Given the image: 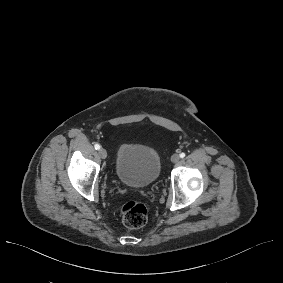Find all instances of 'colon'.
<instances>
[{
	"label": "colon",
	"instance_id": "1",
	"mask_svg": "<svg viewBox=\"0 0 283 283\" xmlns=\"http://www.w3.org/2000/svg\"><path fill=\"white\" fill-rule=\"evenodd\" d=\"M123 224L130 229H137L147 222V208L137 201H130L124 204L121 209Z\"/></svg>",
	"mask_w": 283,
	"mask_h": 283
}]
</instances>
